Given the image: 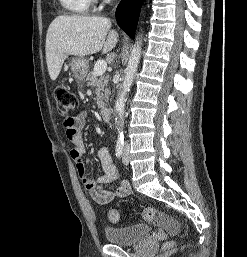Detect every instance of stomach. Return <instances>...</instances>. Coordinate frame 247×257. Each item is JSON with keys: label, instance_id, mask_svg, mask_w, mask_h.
Masks as SVG:
<instances>
[{"label": "stomach", "instance_id": "obj_1", "mask_svg": "<svg viewBox=\"0 0 247 257\" xmlns=\"http://www.w3.org/2000/svg\"><path fill=\"white\" fill-rule=\"evenodd\" d=\"M73 75L78 80H83L88 71V61L84 57H74L69 63Z\"/></svg>", "mask_w": 247, "mask_h": 257}]
</instances>
